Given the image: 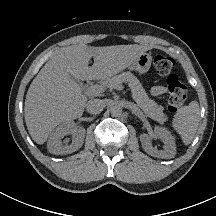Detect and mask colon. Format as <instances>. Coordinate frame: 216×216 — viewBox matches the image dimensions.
Masks as SVG:
<instances>
[{"instance_id": "5ec220e1", "label": "colon", "mask_w": 216, "mask_h": 216, "mask_svg": "<svg viewBox=\"0 0 216 216\" xmlns=\"http://www.w3.org/2000/svg\"><path fill=\"white\" fill-rule=\"evenodd\" d=\"M154 67L158 74L166 77L169 91L167 109L171 113L177 112L184 104L187 96L186 86L172 73L174 60L166 55H156Z\"/></svg>"}]
</instances>
